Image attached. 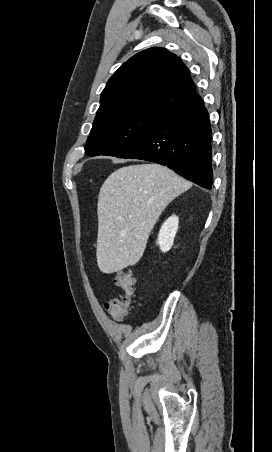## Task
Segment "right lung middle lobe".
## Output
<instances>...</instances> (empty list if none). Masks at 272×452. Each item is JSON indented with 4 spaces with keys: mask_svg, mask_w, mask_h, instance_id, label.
Listing matches in <instances>:
<instances>
[{
    "mask_svg": "<svg viewBox=\"0 0 272 452\" xmlns=\"http://www.w3.org/2000/svg\"><path fill=\"white\" fill-rule=\"evenodd\" d=\"M161 114L130 110L95 119L86 142V154L118 156L136 142Z\"/></svg>",
    "mask_w": 272,
    "mask_h": 452,
    "instance_id": "dd1d6c3e",
    "label": "right lung middle lobe"
}]
</instances>
